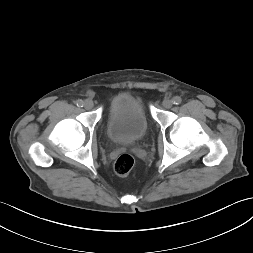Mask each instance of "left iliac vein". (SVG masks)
<instances>
[{"label":"left iliac vein","instance_id":"4c4485c4","mask_svg":"<svg viewBox=\"0 0 253 253\" xmlns=\"http://www.w3.org/2000/svg\"><path fill=\"white\" fill-rule=\"evenodd\" d=\"M162 105L164 108H171L173 105V101L171 99L166 98L163 100Z\"/></svg>","mask_w":253,"mask_h":253}]
</instances>
